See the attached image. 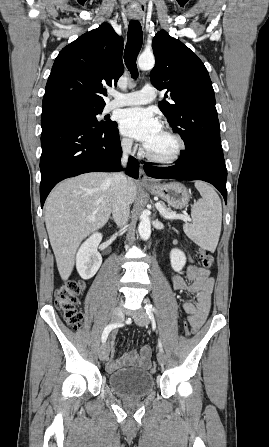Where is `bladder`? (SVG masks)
Listing matches in <instances>:
<instances>
[{
  "mask_svg": "<svg viewBox=\"0 0 269 447\" xmlns=\"http://www.w3.org/2000/svg\"><path fill=\"white\" fill-rule=\"evenodd\" d=\"M107 383L122 397L139 398L154 388V376L147 370L125 368L109 373Z\"/></svg>",
  "mask_w": 269,
  "mask_h": 447,
  "instance_id": "bladder-1",
  "label": "bladder"
}]
</instances>
